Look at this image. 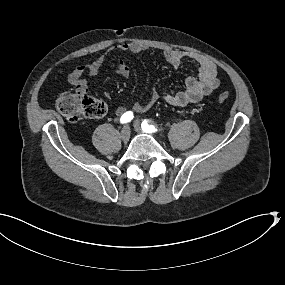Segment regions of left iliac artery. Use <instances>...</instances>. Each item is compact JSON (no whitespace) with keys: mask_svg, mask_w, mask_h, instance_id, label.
<instances>
[{"mask_svg":"<svg viewBox=\"0 0 285 285\" xmlns=\"http://www.w3.org/2000/svg\"><path fill=\"white\" fill-rule=\"evenodd\" d=\"M141 127L142 130L147 133H154L157 131V128L153 124L149 125L147 120L142 122Z\"/></svg>","mask_w":285,"mask_h":285,"instance_id":"obj_1","label":"left iliac artery"}]
</instances>
